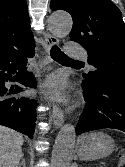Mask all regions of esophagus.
<instances>
[{
	"instance_id": "obj_1",
	"label": "esophagus",
	"mask_w": 125,
	"mask_h": 167,
	"mask_svg": "<svg viewBox=\"0 0 125 167\" xmlns=\"http://www.w3.org/2000/svg\"><path fill=\"white\" fill-rule=\"evenodd\" d=\"M44 40H45V50L47 54L50 53L51 48L58 44V39L54 35L49 32L44 33ZM52 121L53 125L56 128H59L64 122V113L63 110L57 105L54 104L52 108Z\"/></svg>"
}]
</instances>
